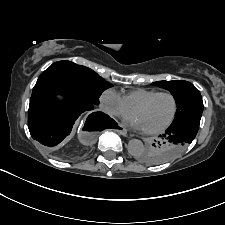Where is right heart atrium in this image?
I'll return each mask as SVG.
<instances>
[{
    "label": "right heart atrium",
    "mask_w": 225,
    "mask_h": 225,
    "mask_svg": "<svg viewBox=\"0 0 225 225\" xmlns=\"http://www.w3.org/2000/svg\"><path fill=\"white\" fill-rule=\"evenodd\" d=\"M100 103L103 111L110 116L125 117L131 114L122 96L113 89H107L101 94Z\"/></svg>",
    "instance_id": "obj_1"
}]
</instances>
